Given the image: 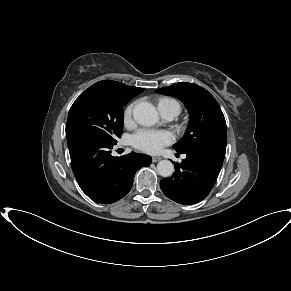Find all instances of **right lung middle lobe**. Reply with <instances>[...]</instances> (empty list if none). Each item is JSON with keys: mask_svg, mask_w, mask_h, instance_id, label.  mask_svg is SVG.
<instances>
[{"mask_svg": "<svg viewBox=\"0 0 291 291\" xmlns=\"http://www.w3.org/2000/svg\"><path fill=\"white\" fill-rule=\"evenodd\" d=\"M131 99L92 85L73 103L66 134L83 133L116 144L123 125V106Z\"/></svg>", "mask_w": 291, "mask_h": 291, "instance_id": "dd1d6c3e", "label": "right lung middle lobe"}]
</instances>
